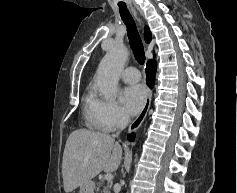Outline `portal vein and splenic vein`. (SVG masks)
<instances>
[{
  "mask_svg": "<svg viewBox=\"0 0 237 193\" xmlns=\"http://www.w3.org/2000/svg\"><path fill=\"white\" fill-rule=\"evenodd\" d=\"M105 179H106L107 181H112L113 175H112L111 173H107V174L105 175Z\"/></svg>",
  "mask_w": 237,
  "mask_h": 193,
  "instance_id": "18ae733b",
  "label": "portal vein and splenic vein"
}]
</instances>
